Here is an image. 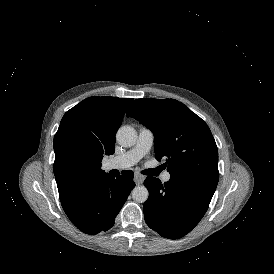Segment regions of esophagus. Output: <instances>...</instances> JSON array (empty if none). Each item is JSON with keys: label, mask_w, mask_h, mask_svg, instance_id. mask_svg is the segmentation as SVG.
I'll use <instances>...</instances> for the list:
<instances>
[{"label": "esophagus", "mask_w": 274, "mask_h": 274, "mask_svg": "<svg viewBox=\"0 0 274 274\" xmlns=\"http://www.w3.org/2000/svg\"><path fill=\"white\" fill-rule=\"evenodd\" d=\"M144 179H145V177L143 175H141L139 173H135L133 180L136 185H140L143 183Z\"/></svg>", "instance_id": "1"}]
</instances>
